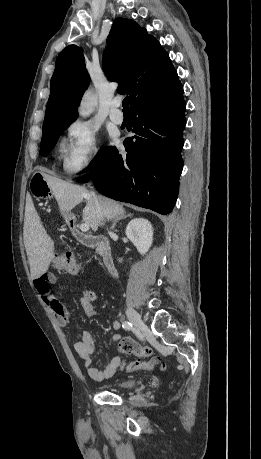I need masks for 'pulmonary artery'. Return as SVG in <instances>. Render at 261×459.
I'll return each mask as SVG.
<instances>
[{
    "label": "pulmonary artery",
    "instance_id": "obj_1",
    "mask_svg": "<svg viewBox=\"0 0 261 459\" xmlns=\"http://www.w3.org/2000/svg\"><path fill=\"white\" fill-rule=\"evenodd\" d=\"M120 105H121L120 99H114L111 102V109L109 111L110 119L116 124H122L124 121L123 113L119 109Z\"/></svg>",
    "mask_w": 261,
    "mask_h": 459
}]
</instances>
